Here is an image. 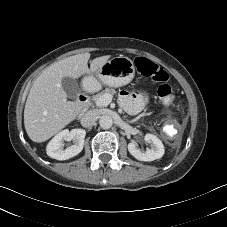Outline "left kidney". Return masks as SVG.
<instances>
[{"label":"left kidney","mask_w":227,"mask_h":227,"mask_svg":"<svg viewBox=\"0 0 227 227\" xmlns=\"http://www.w3.org/2000/svg\"><path fill=\"white\" fill-rule=\"evenodd\" d=\"M146 143L151 144V149L141 151L136 143L128 144L129 153L139 161H153L159 159L164 154V146L162 141L153 134H146L144 137Z\"/></svg>","instance_id":"5707ae66"}]
</instances>
